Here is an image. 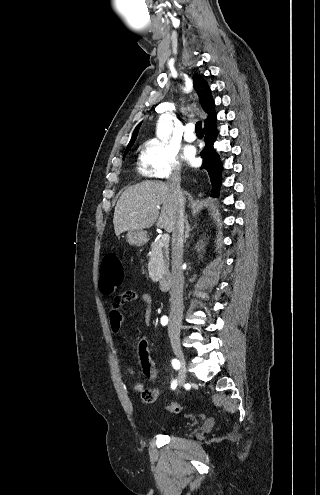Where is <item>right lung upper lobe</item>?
I'll list each match as a JSON object with an SVG mask.
<instances>
[{"instance_id":"1","label":"right lung upper lobe","mask_w":320,"mask_h":495,"mask_svg":"<svg viewBox=\"0 0 320 495\" xmlns=\"http://www.w3.org/2000/svg\"><path fill=\"white\" fill-rule=\"evenodd\" d=\"M194 88L199 96V102L201 103L202 108L208 114L207 119L205 120V127L209 126L216 122V112H215V103L211 95V90L208 86L207 81L199 74H194L193 77ZM141 123L135 128L131 140L126 149H130L134 144L138 130Z\"/></svg>"}]
</instances>
